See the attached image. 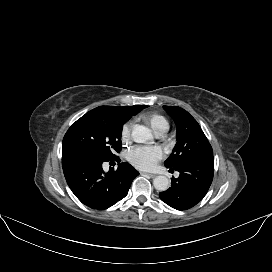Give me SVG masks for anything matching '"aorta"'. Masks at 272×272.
Instances as JSON below:
<instances>
[{"mask_svg": "<svg viewBox=\"0 0 272 272\" xmlns=\"http://www.w3.org/2000/svg\"><path fill=\"white\" fill-rule=\"evenodd\" d=\"M136 143H146L153 139L151 130L142 125H136L131 134ZM154 188L158 191H166L169 188V179L166 176H157L153 180Z\"/></svg>", "mask_w": 272, "mask_h": 272, "instance_id": "1", "label": "aorta"}]
</instances>
